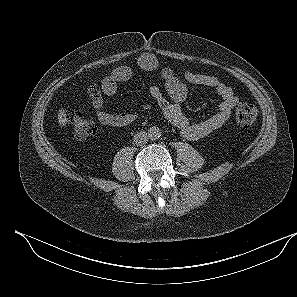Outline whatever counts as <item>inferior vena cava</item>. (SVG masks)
<instances>
[{"label":"inferior vena cava","mask_w":297,"mask_h":297,"mask_svg":"<svg viewBox=\"0 0 297 297\" xmlns=\"http://www.w3.org/2000/svg\"><path fill=\"white\" fill-rule=\"evenodd\" d=\"M149 140V135L145 131L137 132L134 135L133 141L137 146L146 144Z\"/></svg>","instance_id":"1"}]
</instances>
